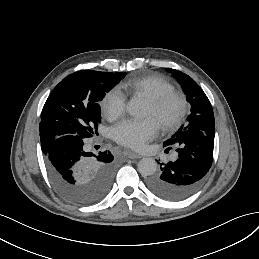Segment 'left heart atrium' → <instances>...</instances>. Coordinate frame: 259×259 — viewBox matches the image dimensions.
I'll return each mask as SVG.
<instances>
[{
	"instance_id": "left-heart-atrium-1",
	"label": "left heart atrium",
	"mask_w": 259,
	"mask_h": 259,
	"mask_svg": "<svg viewBox=\"0 0 259 259\" xmlns=\"http://www.w3.org/2000/svg\"><path fill=\"white\" fill-rule=\"evenodd\" d=\"M160 125L154 117L143 120L125 119L112 127L113 139L119 144L143 149L159 133Z\"/></svg>"
}]
</instances>
